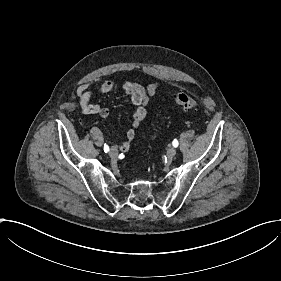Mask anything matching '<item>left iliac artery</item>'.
Segmentation results:
<instances>
[{
  "label": "left iliac artery",
  "instance_id": "left-iliac-artery-1",
  "mask_svg": "<svg viewBox=\"0 0 281 281\" xmlns=\"http://www.w3.org/2000/svg\"><path fill=\"white\" fill-rule=\"evenodd\" d=\"M173 146L174 147H177L178 146V141L176 139H174V141L172 142Z\"/></svg>",
  "mask_w": 281,
  "mask_h": 281
}]
</instances>
